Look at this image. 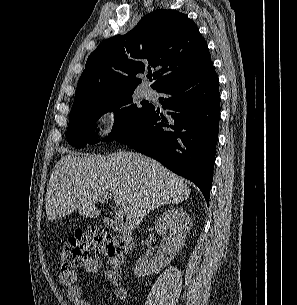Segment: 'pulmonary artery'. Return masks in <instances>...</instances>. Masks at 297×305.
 <instances>
[{
  "mask_svg": "<svg viewBox=\"0 0 297 305\" xmlns=\"http://www.w3.org/2000/svg\"><path fill=\"white\" fill-rule=\"evenodd\" d=\"M143 92L146 97H149L152 95V90L150 88H145Z\"/></svg>",
  "mask_w": 297,
  "mask_h": 305,
  "instance_id": "obj_1",
  "label": "pulmonary artery"
}]
</instances>
